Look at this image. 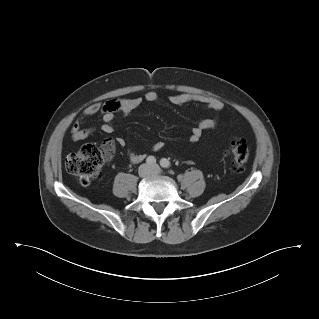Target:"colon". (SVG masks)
I'll list each match as a JSON object with an SVG mask.
<instances>
[{
    "instance_id": "1",
    "label": "colon",
    "mask_w": 319,
    "mask_h": 319,
    "mask_svg": "<svg viewBox=\"0 0 319 319\" xmlns=\"http://www.w3.org/2000/svg\"><path fill=\"white\" fill-rule=\"evenodd\" d=\"M116 102L117 100L112 101ZM112 151L113 143L110 140L105 141L100 147L92 144L84 145L66 157L65 167L82 185H89L99 177L101 168ZM226 155L232 169L241 172L249 158V147L244 140L233 139Z\"/></svg>"
}]
</instances>
